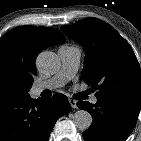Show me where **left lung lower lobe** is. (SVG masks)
Instances as JSON below:
<instances>
[{"label":"left lung lower lobe","mask_w":141,"mask_h":141,"mask_svg":"<svg viewBox=\"0 0 141 141\" xmlns=\"http://www.w3.org/2000/svg\"><path fill=\"white\" fill-rule=\"evenodd\" d=\"M77 106L93 117L83 133L85 141H125L135 127L141 103L97 98L94 105L79 101Z\"/></svg>","instance_id":"1"}]
</instances>
